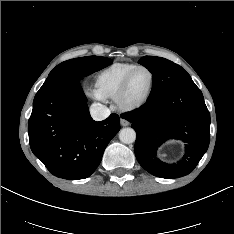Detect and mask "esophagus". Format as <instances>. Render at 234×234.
I'll return each instance as SVG.
<instances>
[{
    "mask_svg": "<svg viewBox=\"0 0 234 234\" xmlns=\"http://www.w3.org/2000/svg\"><path fill=\"white\" fill-rule=\"evenodd\" d=\"M130 123L127 119L124 118V116H121V125L122 126H128Z\"/></svg>",
    "mask_w": 234,
    "mask_h": 234,
    "instance_id": "1",
    "label": "esophagus"
}]
</instances>
